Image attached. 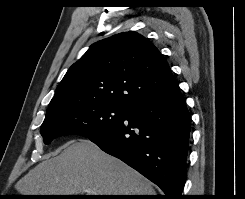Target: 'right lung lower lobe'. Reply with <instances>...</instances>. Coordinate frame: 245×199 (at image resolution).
I'll return each instance as SVG.
<instances>
[{"label": "right lung lower lobe", "instance_id": "98d812e1", "mask_svg": "<svg viewBox=\"0 0 245 199\" xmlns=\"http://www.w3.org/2000/svg\"><path fill=\"white\" fill-rule=\"evenodd\" d=\"M191 116L179 86L128 108L115 124L89 138L158 185L165 199H182Z\"/></svg>", "mask_w": 245, "mask_h": 199}]
</instances>
